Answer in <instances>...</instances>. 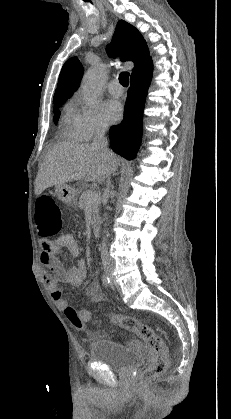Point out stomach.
<instances>
[{"label":"stomach","instance_id":"stomach-1","mask_svg":"<svg viewBox=\"0 0 231 419\" xmlns=\"http://www.w3.org/2000/svg\"><path fill=\"white\" fill-rule=\"evenodd\" d=\"M55 192L58 199L62 202L67 204H73L76 201V197L79 193V190L71 185L62 184L56 186Z\"/></svg>","mask_w":231,"mask_h":419}]
</instances>
